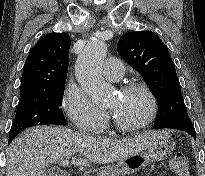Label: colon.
I'll return each instance as SVG.
<instances>
[{
    "label": "colon",
    "mask_w": 205,
    "mask_h": 176,
    "mask_svg": "<svg viewBox=\"0 0 205 176\" xmlns=\"http://www.w3.org/2000/svg\"><path fill=\"white\" fill-rule=\"evenodd\" d=\"M170 168L177 176H188V161L181 152H176L170 159Z\"/></svg>",
    "instance_id": "1"
}]
</instances>
